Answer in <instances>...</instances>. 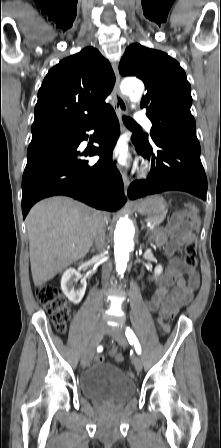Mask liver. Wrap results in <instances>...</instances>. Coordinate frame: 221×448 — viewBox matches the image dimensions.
<instances>
[{
    "instance_id": "liver-1",
    "label": "liver",
    "mask_w": 221,
    "mask_h": 448,
    "mask_svg": "<svg viewBox=\"0 0 221 448\" xmlns=\"http://www.w3.org/2000/svg\"><path fill=\"white\" fill-rule=\"evenodd\" d=\"M101 213L68 197H51L35 204L26 217L31 273L42 286L89 252Z\"/></svg>"
}]
</instances>
